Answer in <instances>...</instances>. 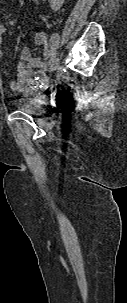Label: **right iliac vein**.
I'll return each mask as SVG.
<instances>
[{"mask_svg": "<svg viewBox=\"0 0 127 303\" xmlns=\"http://www.w3.org/2000/svg\"><path fill=\"white\" fill-rule=\"evenodd\" d=\"M59 66V59L55 58L51 63H50V71L53 72L55 71Z\"/></svg>", "mask_w": 127, "mask_h": 303, "instance_id": "obj_1", "label": "right iliac vein"}]
</instances>
